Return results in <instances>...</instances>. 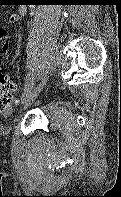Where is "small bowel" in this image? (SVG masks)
<instances>
[{"label":"small bowel","instance_id":"c3829d8e","mask_svg":"<svg viewBox=\"0 0 121 197\" xmlns=\"http://www.w3.org/2000/svg\"><path fill=\"white\" fill-rule=\"evenodd\" d=\"M27 13V8L24 6V5H21L19 8H18V11L15 12V13H12L10 16H9V20L11 22H16L18 21L20 18L24 17ZM0 36L1 37H4L5 34L2 30H0ZM3 49L6 48V44L3 45L2 47Z\"/></svg>","mask_w":121,"mask_h":197}]
</instances>
